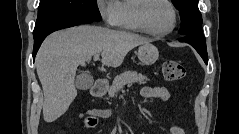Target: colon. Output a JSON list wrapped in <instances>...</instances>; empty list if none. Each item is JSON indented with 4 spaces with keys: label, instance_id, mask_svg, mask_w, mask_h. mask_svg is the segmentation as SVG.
<instances>
[{
    "label": "colon",
    "instance_id": "colon-1",
    "mask_svg": "<svg viewBox=\"0 0 239 134\" xmlns=\"http://www.w3.org/2000/svg\"><path fill=\"white\" fill-rule=\"evenodd\" d=\"M162 73L166 80L168 81H178L185 77L186 69L184 65L178 61H167L162 67ZM89 125L95 123L94 118H88Z\"/></svg>",
    "mask_w": 239,
    "mask_h": 134
}]
</instances>
